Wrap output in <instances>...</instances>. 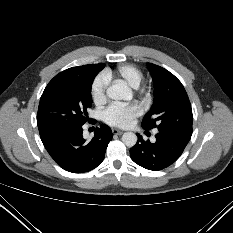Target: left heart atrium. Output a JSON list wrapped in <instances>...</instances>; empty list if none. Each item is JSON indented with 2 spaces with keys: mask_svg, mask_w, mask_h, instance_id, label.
I'll return each mask as SVG.
<instances>
[{
  "mask_svg": "<svg viewBox=\"0 0 233 233\" xmlns=\"http://www.w3.org/2000/svg\"><path fill=\"white\" fill-rule=\"evenodd\" d=\"M140 114L141 107L138 104L113 103L105 110L104 120L111 126L127 128Z\"/></svg>",
  "mask_w": 233,
  "mask_h": 233,
  "instance_id": "1",
  "label": "left heart atrium"
}]
</instances>
